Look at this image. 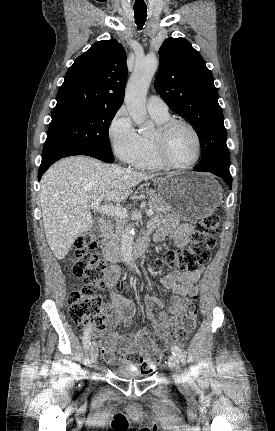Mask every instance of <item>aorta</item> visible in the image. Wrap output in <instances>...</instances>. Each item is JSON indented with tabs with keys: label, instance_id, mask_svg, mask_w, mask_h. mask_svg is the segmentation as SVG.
I'll return each mask as SVG.
<instances>
[{
	"label": "aorta",
	"instance_id": "1",
	"mask_svg": "<svg viewBox=\"0 0 275 431\" xmlns=\"http://www.w3.org/2000/svg\"><path fill=\"white\" fill-rule=\"evenodd\" d=\"M158 64V58L154 54L147 55L143 59L137 61L125 91L126 108L142 134H148L152 128V123L147 117L145 101L149 85L157 70ZM134 230L133 225H129L124 230L120 247L123 260L131 269H136L132 248Z\"/></svg>",
	"mask_w": 275,
	"mask_h": 431
}]
</instances>
